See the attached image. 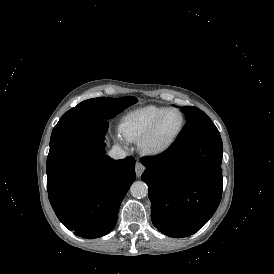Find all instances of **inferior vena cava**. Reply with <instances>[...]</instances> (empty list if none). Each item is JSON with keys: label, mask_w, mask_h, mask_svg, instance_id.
Here are the masks:
<instances>
[{"label": "inferior vena cava", "mask_w": 274, "mask_h": 274, "mask_svg": "<svg viewBox=\"0 0 274 274\" xmlns=\"http://www.w3.org/2000/svg\"><path fill=\"white\" fill-rule=\"evenodd\" d=\"M109 155L114 159H123L126 157V151L120 146L113 145Z\"/></svg>", "instance_id": "602c4592"}]
</instances>
